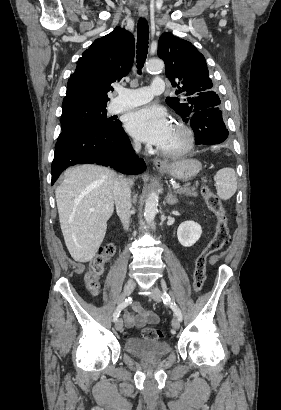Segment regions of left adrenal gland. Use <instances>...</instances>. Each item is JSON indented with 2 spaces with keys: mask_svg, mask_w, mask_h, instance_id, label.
<instances>
[{
  "mask_svg": "<svg viewBox=\"0 0 281 410\" xmlns=\"http://www.w3.org/2000/svg\"><path fill=\"white\" fill-rule=\"evenodd\" d=\"M166 202H167L169 205H174V204H176V203L178 202L177 197L173 195L171 189L169 190V192H168V194H167V196H166Z\"/></svg>",
  "mask_w": 281,
  "mask_h": 410,
  "instance_id": "obj_1",
  "label": "left adrenal gland"
}]
</instances>
